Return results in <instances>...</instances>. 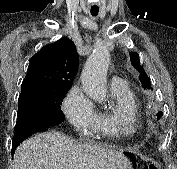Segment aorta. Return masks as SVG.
<instances>
[{
  "label": "aorta",
  "mask_w": 177,
  "mask_h": 169,
  "mask_svg": "<svg viewBox=\"0 0 177 169\" xmlns=\"http://www.w3.org/2000/svg\"><path fill=\"white\" fill-rule=\"evenodd\" d=\"M109 63V51L104 46H97L84 65L81 75L83 90L96 102L105 100L106 74Z\"/></svg>",
  "instance_id": "obj_1"
}]
</instances>
